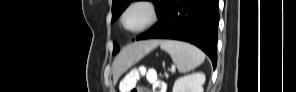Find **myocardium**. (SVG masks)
Wrapping results in <instances>:
<instances>
[{
    "label": "myocardium",
    "mask_w": 296,
    "mask_h": 92,
    "mask_svg": "<svg viewBox=\"0 0 296 92\" xmlns=\"http://www.w3.org/2000/svg\"><path fill=\"white\" fill-rule=\"evenodd\" d=\"M135 7L144 8L148 13V19L142 26L135 28V29H130L126 25V16L129 13V11ZM157 19H158V11H157L156 7L154 6V4H152L151 2H148V1H135V2H132L124 10V12L121 16V24L127 32L140 33V32H143V31L149 29L151 26H153L156 23Z\"/></svg>",
    "instance_id": "myocardium-1"
}]
</instances>
